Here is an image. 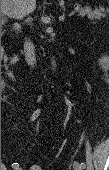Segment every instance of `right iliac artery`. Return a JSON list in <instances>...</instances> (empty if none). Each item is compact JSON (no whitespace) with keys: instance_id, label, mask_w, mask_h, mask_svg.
Listing matches in <instances>:
<instances>
[{"instance_id":"obj_1","label":"right iliac artery","mask_w":109,"mask_h":170,"mask_svg":"<svg viewBox=\"0 0 109 170\" xmlns=\"http://www.w3.org/2000/svg\"><path fill=\"white\" fill-rule=\"evenodd\" d=\"M39 113H40V109H37V110L33 113L32 117H31V120L34 121V120L38 117ZM12 167H13L15 170H18L19 164H18V163H13V164H12Z\"/></svg>"}]
</instances>
